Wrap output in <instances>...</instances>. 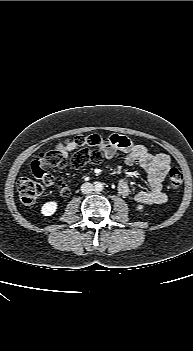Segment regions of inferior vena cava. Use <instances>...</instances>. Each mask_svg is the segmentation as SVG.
<instances>
[{"mask_svg":"<svg viewBox=\"0 0 193 351\" xmlns=\"http://www.w3.org/2000/svg\"><path fill=\"white\" fill-rule=\"evenodd\" d=\"M94 189V186L93 184L89 183V182H86L84 184H82L81 186V191L83 194H88V193H91Z\"/></svg>","mask_w":193,"mask_h":351,"instance_id":"1","label":"inferior vena cava"}]
</instances>
